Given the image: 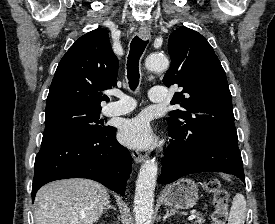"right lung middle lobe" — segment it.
<instances>
[{
    "instance_id": "1",
    "label": "right lung middle lobe",
    "mask_w": 275,
    "mask_h": 224,
    "mask_svg": "<svg viewBox=\"0 0 275 224\" xmlns=\"http://www.w3.org/2000/svg\"><path fill=\"white\" fill-rule=\"evenodd\" d=\"M101 108L63 107L45 115V130L47 133H67L90 136L103 134L108 126H103L99 120ZM43 134V135H44Z\"/></svg>"
}]
</instances>
